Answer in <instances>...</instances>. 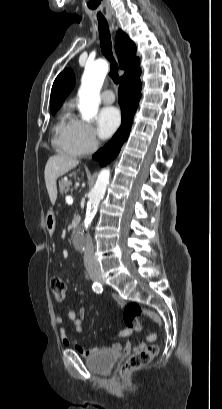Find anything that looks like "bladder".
I'll use <instances>...</instances> for the list:
<instances>
[{
  "instance_id": "bladder-1",
  "label": "bladder",
  "mask_w": 222,
  "mask_h": 409,
  "mask_svg": "<svg viewBox=\"0 0 222 409\" xmlns=\"http://www.w3.org/2000/svg\"><path fill=\"white\" fill-rule=\"evenodd\" d=\"M119 353L114 349L103 350L86 359L87 367L96 374L105 375L112 371L119 359Z\"/></svg>"
}]
</instances>
